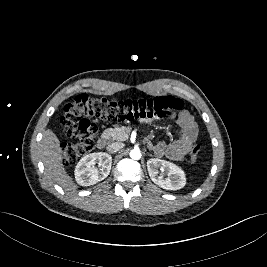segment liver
Segmentation results:
<instances>
[{
    "label": "liver",
    "mask_w": 267,
    "mask_h": 267,
    "mask_svg": "<svg viewBox=\"0 0 267 267\" xmlns=\"http://www.w3.org/2000/svg\"><path fill=\"white\" fill-rule=\"evenodd\" d=\"M40 153L46 174L65 190L75 191L77 185L67 174L62 163L60 140L51 129H47L43 133Z\"/></svg>",
    "instance_id": "6515ba94"
}]
</instances>
